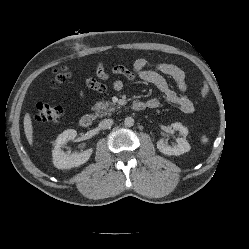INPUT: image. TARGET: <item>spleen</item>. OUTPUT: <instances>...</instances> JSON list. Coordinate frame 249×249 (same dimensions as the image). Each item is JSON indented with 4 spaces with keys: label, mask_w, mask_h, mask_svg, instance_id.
<instances>
[{
    "label": "spleen",
    "mask_w": 249,
    "mask_h": 249,
    "mask_svg": "<svg viewBox=\"0 0 249 249\" xmlns=\"http://www.w3.org/2000/svg\"><path fill=\"white\" fill-rule=\"evenodd\" d=\"M201 142L204 143V144L207 143L208 142V138L206 136H202L201 137Z\"/></svg>",
    "instance_id": "1"
}]
</instances>
